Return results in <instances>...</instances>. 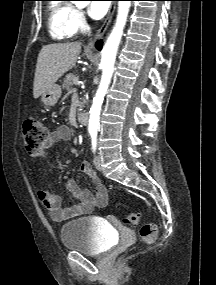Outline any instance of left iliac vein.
Instances as JSON below:
<instances>
[{"label": "left iliac vein", "mask_w": 216, "mask_h": 285, "mask_svg": "<svg viewBox=\"0 0 216 285\" xmlns=\"http://www.w3.org/2000/svg\"><path fill=\"white\" fill-rule=\"evenodd\" d=\"M93 163H94L96 169L101 170L102 162H101V157L99 155H96L94 157Z\"/></svg>", "instance_id": "1"}]
</instances>
